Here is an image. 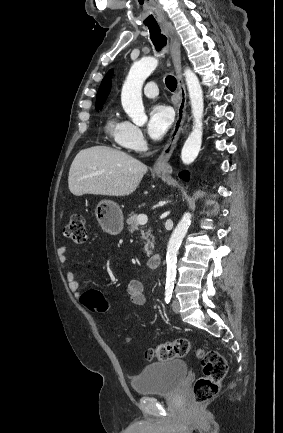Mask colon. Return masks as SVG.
Segmentation results:
<instances>
[{"mask_svg":"<svg viewBox=\"0 0 283 433\" xmlns=\"http://www.w3.org/2000/svg\"><path fill=\"white\" fill-rule=\"evenodd\" d=\"M64 235L76 245L87 240V224L80 213H73L64 227ZM81 303L90 311L103 314L108 310L106 298L97 290H89L81 295ZM196 352L202 365L203 375L196 381L193 396L196 403L201 404L212 399L220 390L221 382L226 376L228 365L226 359L217 351L196 349L187 338H178L164 342L145 352L147 359L168 361L183 358Z\"/></svg>","mask_w":283,"mask_h":433,"instance_id":"obj_1","label":"colon"}]
</instances>
